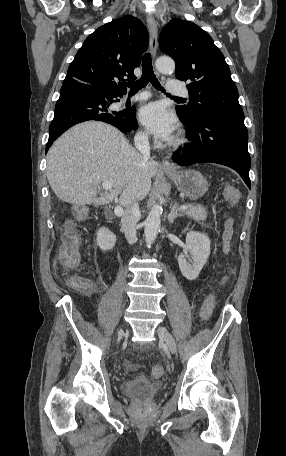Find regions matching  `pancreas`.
<instances>
[{"label": "pancreas", "mask_w": 286, "mask_h": 456, "mask_svg": "<svg viewBox=\"0 0 286 456\" xmlns=\"http://www.w3.org/2000/svg\"><path fill=\"white\" fill-rule=\"evenodd\" d=\"M188 208L184 214L197 222L204 221L207 218V211L202 205L185 204Z\"/></svg>", "instance_id": "cf45deb5"}]
</instances>
